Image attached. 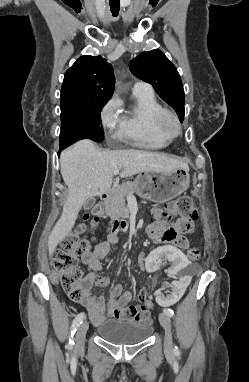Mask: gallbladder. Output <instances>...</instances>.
<instances>
[{"label":"gallbladder","instance_id":"obj_1","mask_svg":"<svg viewBox=\"0 0 249 382\" xmlns=\"http://www.w3.org/2000/svg\"><path fill=\"white\" fill-rule=\"evenodd\" d=\"M96 199L95 198H90L88 199L84 204L83 208L84 210H90L94 205H95Z\"/></svg>","mask_w":249,"mask_h":382}]
</instances>
